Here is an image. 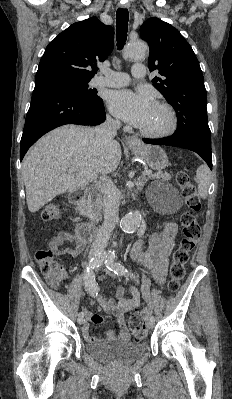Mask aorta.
<instances>
[{
  "label": "aorta",
  "instance_id": "762f6f07",
  "mask_svg": "<svg viewBox=\"0 0 232 399\" xmlns=\"http://www.w3.org/2000/svg\"><path fill=\"white\" fill-rule=\"evenodd\" d=\"M148 46L141 41H136L128 44L124 50L123 57L125 59L141 60L146 56ZM131 182L127 183L130 188ZM142 216L139 211H134L126 214L120 222V226L124 232L133 233L140 226Z\"/></svg>",
  "mask_w": 232,
  "mask_h": 399
}]
</instances>
